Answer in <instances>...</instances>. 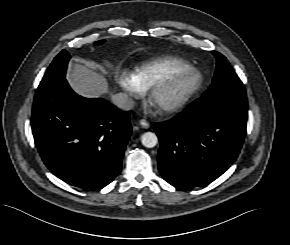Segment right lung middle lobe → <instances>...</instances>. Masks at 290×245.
I'll return each instance as SVG.
<instances>
[{
    "label": "right lung middle lobe",
    "mask_w": 290,
    "mask_h": 245,
    "mask_svg": "<svg viewBox=\"0 0 290 245\" xmlns=\"http://www.w3.org/2000/svg\"><path fill=\"white\" fill-rule=\"evenodd\" d=\"M104 40L94 42L95 45L104 43ZM70 55L67 51L62 50L53 60L47 71L45 72L39 87H45L57 83L65 79L66 68Z\"/></svg>",
    "instance_id": "dd1d6c3e"
}]
</instances>
